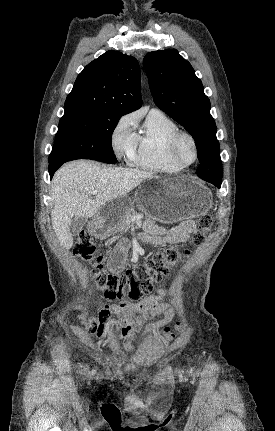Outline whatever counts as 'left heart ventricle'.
Masks as SVG:
<instances>
[{
	"label": "left heart ventricle",
	"mask_w": 275,
	"mask_h": 431,
	"mask_svg": "<svg viewBox=\"0 0 275 431\" xmlns=\"http://www.w3.org/2000/svg\"><path fill=\"white\" fill-rule=\"evenodd\" d=\"M178 155L184 163H189L193 159V147L186 138L181 139L178 145Z\"/></svg>",
	"instance_id": "left-heart-ventricle-1"
}]
</instances>
